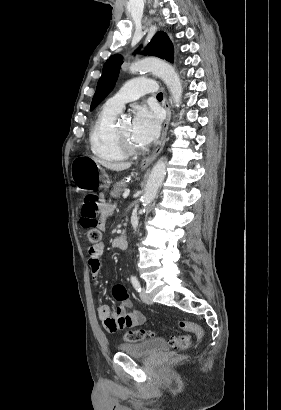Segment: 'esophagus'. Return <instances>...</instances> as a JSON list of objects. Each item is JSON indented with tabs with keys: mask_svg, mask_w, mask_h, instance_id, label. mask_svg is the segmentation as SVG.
<instances>
[{
	"mask_svg": "<svg viewBox=\"0 0 281 410\" xmlns=\"http://www.w3.org/2000/svg\"><path fill=\"white\" fill-rule=\"evenodd\" d=\"M164 108L166 110V119L163 125V129H162V134H161V138L159 141V144L157 146V148L154 150V152L149 155L148 157L144 158L141 163L140 166L141 167H148L150 166L153 161L157 158V156L161 153L165 142H166V136H167V131H168V127H169V123H170V119H171V110H170V105L168 100L165 98L164 99Z\"/></svg>",
	"mask_w": 281,
	"mask_h": 410,
	"instance_id": "esophagus-1",
	"label": "esophagus"
}]
</instances>
